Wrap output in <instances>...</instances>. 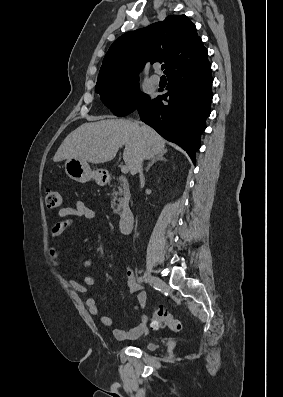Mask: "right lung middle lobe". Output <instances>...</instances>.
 Wrapping results in <instances>:
<instances>
[{
  "label": "right lung middle lobe",
  "mask_w": 283,
  "mask_h": 397,
  "mask_svg": "<svg viewBox=\"0 0 283 397\" xmlns=\"http://www.w3.org/2000/svg\"><path fill=\"white\" fill-rule=\"evenodd\" d=\"M95 91L117 116L130 114L150 99L148 95L140 92L138 77L97 81Z\"/></svg>",
  "instance_id": "right-lung-middle-lobe-1"
}]
</instances>
